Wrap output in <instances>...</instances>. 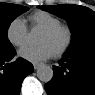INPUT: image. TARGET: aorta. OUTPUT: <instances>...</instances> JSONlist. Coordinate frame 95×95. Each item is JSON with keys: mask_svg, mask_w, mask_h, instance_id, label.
Returning a JSON list of instances; mask_svg holds the SVG:
<instances>
[{"mask_svg": "<svg viewBox=\"0 0 95 95\" xmlns=\"http://www.w3.org/2000/svg\"><path fill=\"white\" fill-rule=\"evenodd\" d=\"M30 37H32V33H30ZM37 77L42 82H50L53 78V69L48 65L42 64L37 68Z\"/></svg>", "mask_w": 95, "mask_h": 95, "instance_id": "1", "label": "aorta"}]
</instances>
